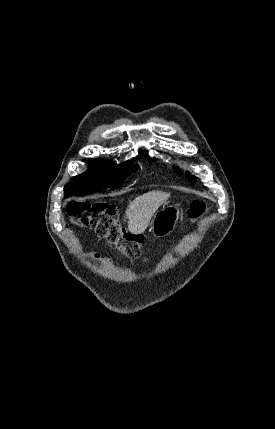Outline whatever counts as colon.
<instances>
[{
	"label": "colon",
	"mask_w": 275,
	"mask_h": 429,
	"mask_svg": "<svg viewBox=\"0 0 275 429\" xmlns=\"http://www.w3.org/2000/svg\"><path fill=\"white\" fill-rule=\"evenodd\" d=\"M205 212L206 205L197 201L190 205L188 215L192 221H197ZM67 215L74 226L93 229L98 236L115 244L128 258L142 256V240L120 227L114 205L102 201L71 202L67 206Z\"/></svg>",
	"instance_id": "1"
}]
</instances>
